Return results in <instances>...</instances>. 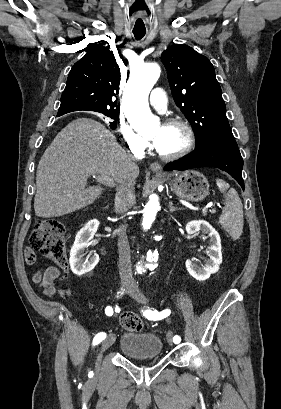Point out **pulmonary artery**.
<instances>
[{"instance_id": "e3ab8cb5", "label": "pulmonary artery", "mask_w": 281, "mask_h": 409, "mask_svg": "<svg viewBox=\"0 0 281 409\" xmlns=\"http://www.w3.org/2000/svg\"><path fill=\"white\" fill-rule=\"evenodd\" d=\"M168 103L167 98L165 97V91L161 90L159 87H156L152 91V97L149 99V104L154 107L155 110L159 111L163 109V106H166Z\"/></svg>"}]
</instances>
